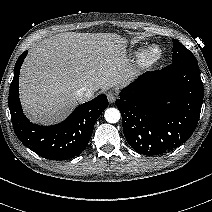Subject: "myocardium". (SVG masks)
<instances>
[{
	"label": "myocardium",
	"mask_w": 212,
	"mask_h": 212,
	"mask_svg": "<svg viewBox=\"0 0 212 212\" xmlns=\"http://www.w3.org/2000/svg\"><path fill=\"white\" fill-rule=\"evenodd\" d=\"M160 54V49L152 46L141 54L139 62L142 66H150L159 59Z\"/></svg>",
	"instance_id": "obj_1"
}]
</instances>
